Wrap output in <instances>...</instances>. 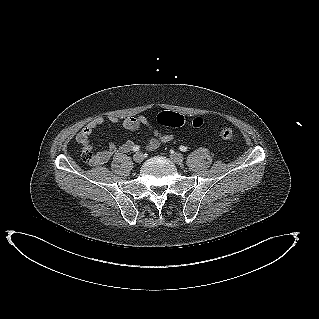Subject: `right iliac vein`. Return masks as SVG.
I'll return each instance as SVG.
<instances>
[{
	"label": "right iliac vein",
	"instance_id": "obj_1",
	"mask_svg": "<svg viewBox=\"0 0 319 319\" xmlns=\"http://www.w3.org/2000/svg\"><path fill=\"white\" fill-rule=\"evenodd\" d=\"M133 160L136 163H141L144 160V156H143V154L141 152H137L136 154H134Z\"/></svg>",
	"mask_w": 319,
	"mask_h": 319
}]
</instances>
